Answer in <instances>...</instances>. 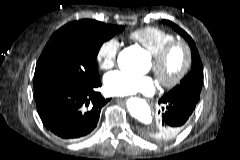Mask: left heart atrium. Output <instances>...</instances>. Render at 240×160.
<instances>
[{"label":"left heart atrium","mask_w":240,"mask_h":160,"mask_svg":"<svg viewBox=\"0 0 240 160\" xmlns=\"http://www.w3.org/2000/svg\"><path fill=\"white\" fill-rule=\"evenodd\" d=\"M105 90L112 95L126 96L137 93L151 95L155 82L150 76H135L121 71L109 73L105 77Z\"/></svg>","instance_id":"obj_1"}]
</instances>
